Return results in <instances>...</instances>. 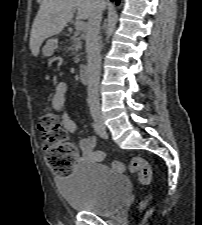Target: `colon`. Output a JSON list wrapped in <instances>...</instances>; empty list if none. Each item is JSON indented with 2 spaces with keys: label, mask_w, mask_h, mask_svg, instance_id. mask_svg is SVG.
Returning <instances> with one entry per match:
<instances>
[{
  "label": "colon",
  "mask_w": 202,
  "mask_h": 225,
  "mask_svg": "<svg viewBox=\"0 0 202 225\" xmlns=\"http://www.w3.org/2000/svg\"><path fill=\"white\" fill-rule=\"evenodd\" d=\"M38 129L42 134L43 149L48 166L57 176L70 175L79 158V148L67 140V134L62 129L59 117L54 113H44L38 121ZM115 168H124L120 161H114ZM129 171L135 174L141 184H149L153 178L152 168L143 157H134L130 161ZM147 203V199L143 205Z\"/></svg>",
  "instance_id": "5ec220e1"
}]
</instances>
